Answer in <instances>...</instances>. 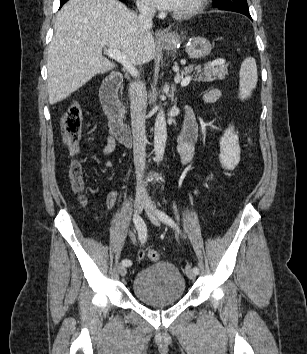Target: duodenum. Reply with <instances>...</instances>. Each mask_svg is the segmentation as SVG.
Wrapping results in <instances>:
<instances>
[{"label": "duodenum", "instance_id": "1", "mask_svg": "<svg viewBox=\"0 0 307 354\" xmlns=\"http://www.w3.org/2000/svg\"><path fill=\"white\" fill-rule=\"evenodd\" d=\"M123 81L119 72H112L104 80L100 97L105 113L109 120L110 132L116 137L119 143L128 146L131 144V130L124 122V109L118 97V90Z\"/></svg>", "mask_w": 307, "mask_h": 354}]
</instances>
